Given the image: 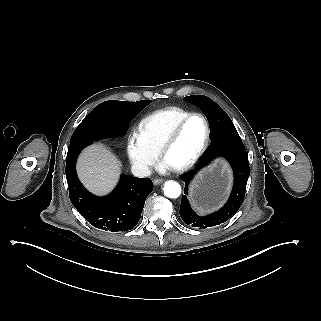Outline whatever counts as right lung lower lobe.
<instances>
[{"instance_id":"1","label":"right lung lower lobe","mask_w":321,"mask_h":321,"mask_svg":"<svg viewBox=\"0 0 321 321\" xmlns=\"http://www.w3.org/2000/svg\"><path fill=\"white\" fill-rule=\"evenodd\" d=\"M141 110L132 102L106 101L97 106L96 114L105 123L108 137H116L126 132L130 121ZM92 143V140H82L68 147L65 173L70 200L80 214L98 229L111 232L131 230L139 222L145 199L152 192V181L123 174L111 194L105 197L91 194L78 179L76 161L82 149Z\"/></svg>"}]
</instances>
